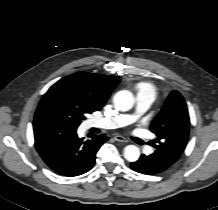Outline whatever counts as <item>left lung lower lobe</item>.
<instances>
[{"instance_id":"1","label":"left lung lower lobe","mask_w":218,"mask_h":210,"mask_svg":"<svg viewBox=\"0 0 218 210\" xmlns=\"http://www.w3.org/2000/svg\"><path fill=\"white\" fill-rule=\"evenodd\" d=\"M178 158L162 153L159 149H156L154 153L146 156L141 155L139 160L131 163V168L139 173L143 174H157L168 169L174 164Z\"/></svg>"}]
</instances>
